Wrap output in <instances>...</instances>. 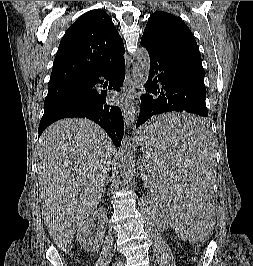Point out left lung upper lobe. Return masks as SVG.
Returning <instances> with one entry per match:
<instances>
[{
	"instance_id": "5c2ea615",
	"label": "left lung upper lobe",
	"mask_w": 253,
	"mask_h": 266,
	"mask_svg": "<svg viewBox=\"0 0 253 266\" xmlns=\"http://www.w3.org/2000/svg\"><path fill=\"white\" fill-rule=\"evenodd\" d=\"M141 41L158 47H176L200 56L193 34L176 16L157 11L148 19Z\"/></svg>"
}]
</instances>
